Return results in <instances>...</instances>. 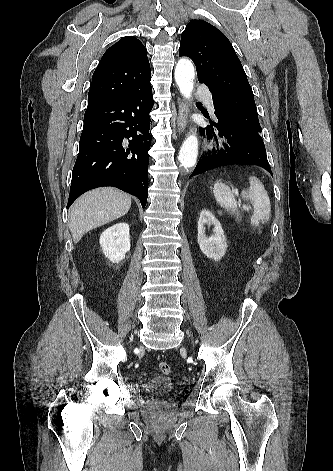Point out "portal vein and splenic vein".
Returning <instances> with one entry per match:
<instances>
[{
	"label": "portal vein and splenic vein",
	"mask_w": 333,
	"mask_h": 471,
	"mask_svg": "<svg viewBox=\"0 0 333 471\" xmlns=\"http://www.w3.org/2000/svg\"><path fill=\"white\" fill-rule=\"evenodd\" d=\"M239 206H241V201H239ZM242 208L245 209V210H248V209H249V207L246 206V205H242Z\"/></svg>",
	"instance_id": "obj_1"
}]
</instances>
